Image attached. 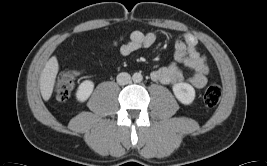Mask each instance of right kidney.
I'll return each instance as SVG.
<instances>
[{
    "mask_svg": "<svg viewBox=\"0 0 267 166\" xmlns=\"http://www.w3.org/2000/svg\"><path fill=\"white\" fill-rule=\"evenodd\" d=\"M94 89V83L90 80L83 81L76 92V98L80 102L86 101Z\"/></svg>",
    "mask_w": 267,
    "mask_h": 166,
    "instance_id": "1",
    "label": "right kidney"
}]
</instances>
